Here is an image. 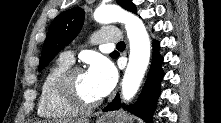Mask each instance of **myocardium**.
<instances>
[{
    "label": "myocardium",
    "instance_id": "obj_1",
    "mask_svg": "<svg viewBox=\"0 0 221 123\" xmlns=\"http://www.w3.org/2000/svg\"><path fill=\"white\" fill-rule=\"evenodd\" d=\"M84 72L85 70L80 66H70L59 76L57 80V90L60 97L66 103L78 110L88 111L101 105L102 98L88 102L80 96L76 89L75 78L78 74Z\"/></svg>",
    "mask_w": 221,
    "mask_h": 123
}]
</instances>
